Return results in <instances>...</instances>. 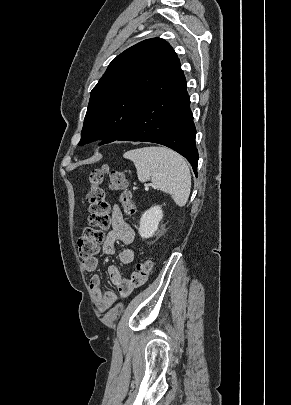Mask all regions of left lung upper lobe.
Here are the masks:
<instances>
[{
  "label": "left lung upper lobe",
  "mask_w": 291,
  "mask_h": 405,
  "mask_svg": "<svg viewBox=\"0 0 291 405\" xmlns=\"http://www.w3.org/2000/svg\"><path fill=\"white\" fill-rule=\"evenodd\" d=\"M177 58L161 38L141 41L118 55L91 91L78 145L123 136L146 93Z\"/></svg>",
  "instance_id": "left-lung-upper-lobe-1"
}]
</instances>
